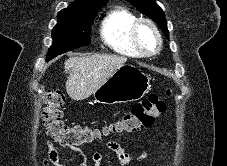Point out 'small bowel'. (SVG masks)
Returning <instances> with one entry per match:
<instances>
[{
	"label": "small bowel",
	"instance_id": "obj_1",
	"mask_svg": "<svg viewBox=\"0 0 227 166\" xmlns=\"http://www.w3.org/2000/svg\"><path fill=\"white\" fill-rule=\"evenodd\" d=\"M47 146L48 152L46 158L43 161V165L64 166L60 162L58 151L54 148L52 141H48ZM107 146L113 152L115 161L118 162L121 166H128L131 163L132 160L130 154L125 149H123L117 142L110 140L107 142ZM72 150L80 158L78 166H88L87 158L82 153V151L77 147H73ZM145 157L146 155L143 154L139 156L136 161L140 162L144 160ZM92 161L94 162L95 166H98L99 163L102 161V155L99 152H94L92 154Z\"/></svg>",
	"mask_w": 227,
	"mask_h": 166
}]
</instances>
